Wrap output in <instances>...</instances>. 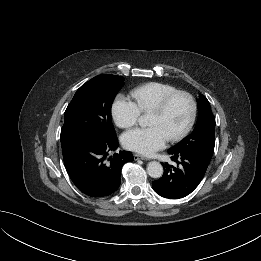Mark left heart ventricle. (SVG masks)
Listing matches in <instances>:
<instances>
[{
	"label": "left heart ventricle",
	"mask_w": 261,
	"mask_h": 261,
	"mask_svg": "<svg viewBox=\"0 0 261 261\" xmlns=\"http://www.w3.org/2000/svg\"><path fill=\"white\" fill-rule=\"evenodd\" d=\"M190 114V104L184 97L177 98L168 111L162 115L151 113L149 125L160 126L168 137L180 132L186 125Z\"/></svg>",
	"instance_id": "obj_1"
}]
</instances>
